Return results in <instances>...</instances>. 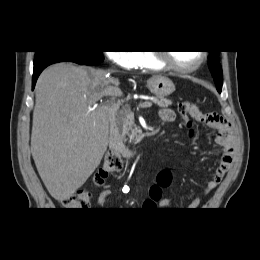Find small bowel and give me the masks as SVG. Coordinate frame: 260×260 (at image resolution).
<instances>
[{"label":"small bowel","instance_id":"1","mask_svg":"<svg viewBox=\"0 0 260 260\" xmlns=\"http://www.w3.org/2000/svg\"><path fill=\"white\" fill-rule=\"evenodd\" d=\"M160 118L165 122H172L175 120V113L171 109H162L159 113ZM195 119L202 124L214 129L217 132L216 135V142L219 146L222 147L223 153L222 158L217 166L213 176L211 177L210 181L207 183L204 193L208 194L212 190H214L222 181L223 177L230 169L233 161L234 155V143H235V135L232 125L226 121L222 116L216 113H202L200 112L199 115L195 116ZM110 191L104 190L100 193L98 198V204L102 205L105 199L109 196ZM200 197L196 196L193 201L189 204L188 208L190 210H194L198 208L200 205ZM156 206V202L147 200L145 202V207L153 208ZM160 208L168 209L171 207V203L168 199H163L159 201Z\"/></svg>","mask_w":260,"mask_h":260}]
</instances>
